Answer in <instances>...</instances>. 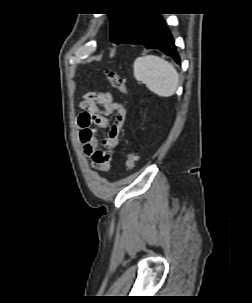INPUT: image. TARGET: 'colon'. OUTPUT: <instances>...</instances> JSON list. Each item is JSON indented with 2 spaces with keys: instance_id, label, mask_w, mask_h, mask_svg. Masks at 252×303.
I'll use <instances>...</instances> for the list:
<instances>
[{
  "instance_id": "colon-1",
  "label": "colon",
  "mask_w": 252,
  "mask_h": 303,
  "mask_svg": "<svg viewBox=\"0 0 252 303\" xmlns=\"http://www.w3.org/2000/svg\"><path fill=\"white\" fill-rule=\"evenodd\" d=\"M104 74L107 80L112 85V87L119 90L124 95L128 94L126 80L122 76H120L117 72L111 69H106L104 71ZM137 162H138L137 155L132 151H128L126 153V160H125V166L127 170L133 171L137 166Z\"/></svg>"
}]
</instances>
